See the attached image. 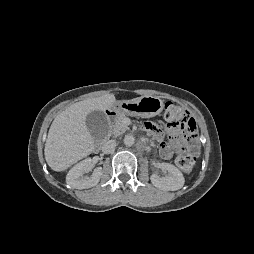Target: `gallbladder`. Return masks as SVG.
I'll list each match as a JSON object with an SVG mask.
<instances>
[{
  "instance_id": "1",
  "label": "gallbladder",
  "mask_w": 254,
  "mask_h": 254,
  "mask_svg": "<svg viewBox=\"0 0 254 254\" xmlns=\"http://www.w3.org/2000/svg\"><path fill=\"white\" fill-rule=\"evenodd\" d=\"M86 126L95 141H102L108 133L109 121L103 111L95 110L86 117Z\"/></svg>"
}]
</instances>
